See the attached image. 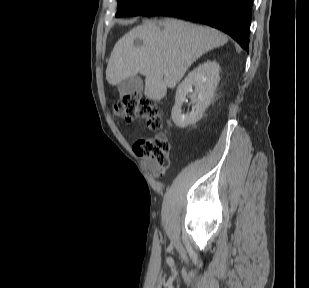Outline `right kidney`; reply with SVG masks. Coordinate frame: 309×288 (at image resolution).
<instances>
[{"label": "right kidney", "instance_id": "ca27d5eb", "mask_svg": "<svg viewBox=\"0 0 309 288\" xmlns=\"http://www.w3.org/2000/svg\"><path fill=\"white\" fill-rule=\"evenodd\" d=\"M220 66L216 61H207L198 66L178 86L175 96V105L172 108L171 118L176 126L180 128L195 124L203 115L205 109L213 100L217 88ZM192 87L195 88L193 92ZM194 104L193 110L188 114H182V104L186 96Z\"/></svg>", "mask_w": 309, "mask_h": 288}]
</instances>
